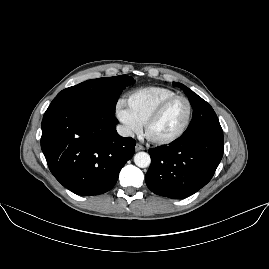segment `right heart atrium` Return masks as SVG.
<instances>
[{"label":"right heart atrium","instance_id":"right-heart-atrium-1","mask_svg":"<svg viewBox=\"0 0 269 269\" xmlns=\"http://www.w3.org/2000/svg\"><path fill=\"white\" fill-rule=\"evenodd\" d=\"M116 115L118 119L123 123L125 130L128 133H138L141 130V126L132 116L129 110L125 107V104L122 100L117 102Z\"/></svg>","mask_w":269,"mask_h":269}]
</instances>
